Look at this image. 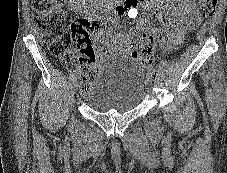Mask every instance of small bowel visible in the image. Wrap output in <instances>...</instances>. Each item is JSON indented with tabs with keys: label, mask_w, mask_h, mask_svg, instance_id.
Masks as SVG:
<instances>
[{
	"label": "small bowel",
	"mask_w": 227,
	"mask_h": 173,
	"mask_svg": "<svg viewBox=\"0 0 227 173\" xmlns=\"http://www.w3.org/2000/svg\"><path fill=\"white\" fill-rule=\"evenodd\" d=\"M151 10L162 23V29L153 27L148 17L141 18L137 27L122 30L118 33L109 32L95 38V49L102 56L125 57L131 55L132 43L146 39L153 48L155 38L165 51L176 48L186 33L193 30L200 22V16L195 8V0H130L120 14L128 15L137 11L139 6ZM95 59L91 61L93 64ZM84 67L85 62L79 61Z\"/></svg>",
	"instance_id": "obj_1"
}]
</instances>
